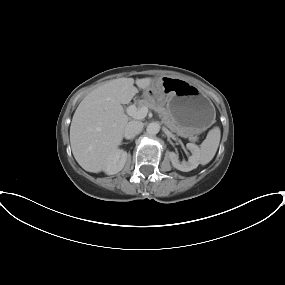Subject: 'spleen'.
Segmentation results:
<instances>
[{"label": "spleen", "mask_w": 285, "mask_h": 285, "mask_svg": "<svg viewBox=\"0 0 285 285\" xmlns=\"http://www.w3.org/2000/svg\"><path fill=\"white\" fill-rule=\"evenodd\" d=\"M221 138L219 127L211 129L206 139L200 145V162L202 165L208 164L215 156Z\"/></svg>", "instance_id": "1"}]
</instances>
